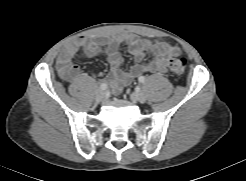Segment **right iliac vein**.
<instances>
[{
    "mask_svg": "<svg viewBox=\"0 0 246 181\" xmlns=\"http://www.w3.org/2000/svg\"><path fill=\"white\" fill-rule=\"evenodd\" d=\"M105 99V92L104 90L98 89L96 92V100L98 102L103 101Z\"/></svg>",
    "mask_w": 246,
    "mask_h": 181,
    "instance_id": "63e3f726",
    "label": "right iliac vein"
}]
</instances>
